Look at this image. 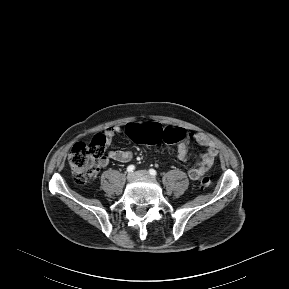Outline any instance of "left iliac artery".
<instances>
[{
  "label": "left iliac artery",
  "mask_w": 289,
  "mask_h": 289,
  "mask_svg": "<svg viewBox=\"0 0 289 289\" xmlns=\"http://www.w3.org/2000/svg\"><path fill=\"white\" fill-rule=\"evenodd\" d=\"M149 173H150L152 176H156V175H157V172H156V170H154V169H150V170H149Z\"/></svg>",
  "instance_id": "obj_1"
}]
</instances>
